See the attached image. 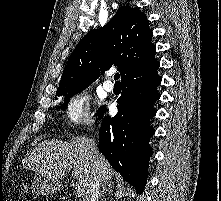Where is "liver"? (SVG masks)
<instances>
[{"label":"liver","instance_id":"obj_1","mask_svg":"<svg viewBox=\"0 0 221 201\" xmlns=\"http://www.w3.org/2000/svg\"><path fill=\"white\" fill-rule=\"evenodd\" d=\"M97 164L103 184H112L114 171L107 160L99 152ZM26 169L36 172L53 185L59 186L60 179L67 171H71L84 190H89L93 180V162L89 140L76 138L73 142L61 140H45L27 153L23 160Z\"/></svg>","mask_w":221,"mask_h":201}]
</instances>
